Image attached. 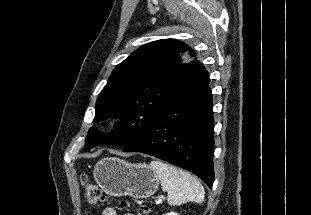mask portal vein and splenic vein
I'll use <instances>...</instances> for the list:
<instances>
[{
	"label": "portal vein and splenic vein",
	"mask_w": 311,
	"mask_h": 215,
	"mask_svg": "<svg viewBox=\"0 0 311 215\" xmlns=\"http://www.w3.org/2000/svg\"><path fill=\"white\" fill-rule=\"evenodd\" d=\"M161 202H162V198L158 199V200L156 201V204H159V203H161Z\"/></svg>",
	"instance_id": "portal-vein-and-splenic-vein-1"
}]
</instances>
